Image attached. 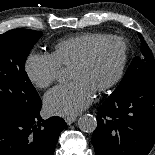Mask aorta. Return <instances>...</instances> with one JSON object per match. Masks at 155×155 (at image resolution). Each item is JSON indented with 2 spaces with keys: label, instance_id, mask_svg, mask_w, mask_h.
<instances>
[{
  "label": "aorta",
  "instance_id": "aorta-1",
  "mask_svg": "<svg viewBox=\"0 0 155 155\" xmlns=\"http://www.w3.org/2000/svg\"><path fill=\"white\" fill-rule=\"evenodd\" d=\"M78 127L84 132L91 133L97 127V119L91 114H84L78 119Z\"/></svg>",
  "mask_w": 155,
  "mask_h": 155
}]
</instances>
